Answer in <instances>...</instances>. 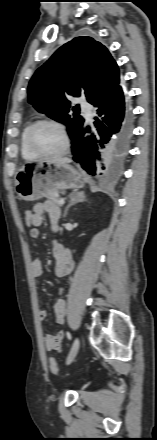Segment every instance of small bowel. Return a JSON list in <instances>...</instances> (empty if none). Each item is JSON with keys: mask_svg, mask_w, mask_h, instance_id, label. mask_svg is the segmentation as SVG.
Masks as SVG:
<instances>
[{"mask_svg": "<svg viewBox=\"0 0 157 440\" xmlns=\"http://www.w3.org/2000/svg\"><path fill=\"white\" fill-rule=\"evenodd\" d=\"M34 213V225L29 231L31 238H38L40 235L39 226L43 223V216L46 213L50 221V229L53 233L57 232L59 229V218H60V208L56 203L52 201H46L42 203H37L33 207ZM52 254L56 261L55 272L60 278L70 275L74 268V262L72 259L71 252L61 245L57 241L52 243ZM32 275L38 278L43 273V265L40 259H34L31 264ZM63 288L60 289L62 293ZM53 312L55 316V321L58 325L64 326L65 316H66V303L63 299H58L53 306ZM39 319L41 321L45 320L47 317V312L45 309L39 310ZM64 331L61 330L56 335H46L44 337L45 346L48 350L60 349L62 341L64 339Z\"/></svg>", "mask_w": 157, "mask_h": 440, "instance_id": "small-bowel-1", "label": "small bowel"}]
</instances>
